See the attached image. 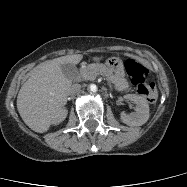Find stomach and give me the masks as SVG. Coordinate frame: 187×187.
Wrapping results in <instances>:
<instances>
[{"label":"stomach","instance_id":"stomach-1","mask_svg":"<svg viewBox=\"0 0 187 187\" xmlns=\"http://www.w3.org/2000/svg\"><path fill=\"white\" fill-rule=\"evenodd\" d=\"M106 67L110 71L114 78V82L120 81L124 75V64L123 61L118 57H111L106 60Z\"/></svg>","mask_w":187,"mask_h":187}]
</instances>
